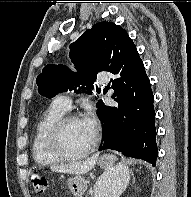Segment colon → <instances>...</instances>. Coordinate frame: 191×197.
<instances>
[{"instance_id":"1","label":"colon","mask_w":191,"mask_h":197,"mask_svg":"<svg viewBox=\"0 0 191 197\" xmlns=\"http://www.w3.org/2000/svg\"><path fill=\"white\" fill-rule=\"evenodd\" d=\"M31 181L35 192L44 193L46 191L48 187V181L44 176L34 173L31 175Z\"/></svg>"}]
</instances>
